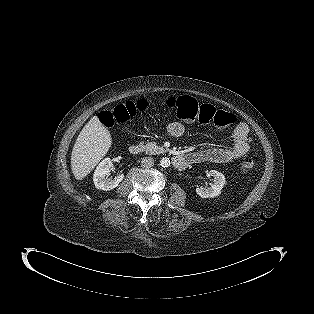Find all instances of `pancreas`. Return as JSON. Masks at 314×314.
<instances>
[{
    "mask_svg": "<svg viewBox=\"0 0 314 314\" xmlns=\"http://www.w3.org/2000/svg\"><path fill=\"white\" fill-rule=\"evenodd\" d=\"M143 149L147 155L163 154L166 150L162 146H158L154 142L147 143L143 146Z\"/></svg>",
    "mask_w": 314,
    "mask_h": 314,
    "instance_id": "pancreas-1",
    "label": "pancreas"
}]
</instances>
